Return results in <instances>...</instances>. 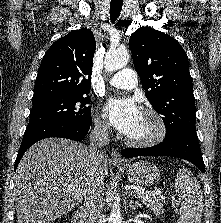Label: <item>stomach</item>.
Segmentation results:
<instances>
[{"mask_svg": "<svg viewBox=\"0 0 221 223\" xmlns=\"http://www.w3.org/2000/svg\"><path fill=\"white\" fill-rule=\"evenodd\" d=\"M118 167L126 172L130 182L137 185H152L158 182L160 178L157 167L148 161Z\"/></svg>", "mask_w": 221, "mask_h": 223, "instance_id": "0dacf381", "label": "stomach"}]
</instances>
